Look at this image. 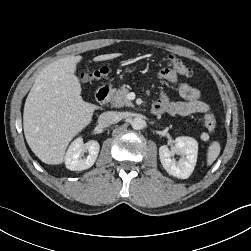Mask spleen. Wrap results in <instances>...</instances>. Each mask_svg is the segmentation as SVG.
Instances as JSON below:
<instances>
[{
  "instance_id": "1",
  "label": "spleen",
  "mask_w": 251,
  "mask_h": 251,
  "mask_svg": "<svg viewBox=\"0 0 251 251\" xmlns=\"http://www.w3.org/2000/svg\"><path fill=\"white\" fill-rule=\"evenodd\" d=\"M220 144L217 141L212 142L207 151V165L210 166L220 154Z\"/></svg>"
}]
</instances>
